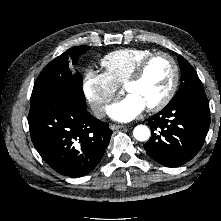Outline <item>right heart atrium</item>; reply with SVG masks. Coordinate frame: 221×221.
<instances>
[{
  "label": "right heart atrium",
  "mask_w": 221,
  "mask_h": 221,
  "mask_svg": "<svg viewBox=\"0 0 221 221\" xmlns=\"http://www.w3.org/2000/svg\"><path fill=\"white\" fill-rule=\"evenodd\" d=\"M83 93L98 117L106 114L108 106L116 99L118 85L105 73L87 70L83 76Z\"/></svg>",
  "instance_id": "right-heart-atrium-1"
}]
</instances>
